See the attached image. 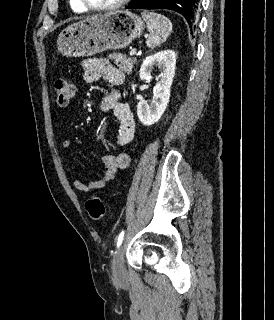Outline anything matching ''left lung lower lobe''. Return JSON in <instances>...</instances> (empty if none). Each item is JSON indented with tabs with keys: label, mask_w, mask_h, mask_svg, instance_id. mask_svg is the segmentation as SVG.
<instances>
[{
	"label": "left lung lower lobe",
	"mask_w": 274,
	"mask_h": 320,
	"mask_svg": "<svg viewBox=\"0 0 274 320\" xmlns=\"http://www.w3.org/2000/svg\"><path fill=\"white\" fill-rule=\"evenodd\" d=\"M126 9H169L182 14L189 24L195 22L199 0H132Z\"/></svg>",
	"instance_id": "left-lung-lower-lobe-1"
}]
</instances>
